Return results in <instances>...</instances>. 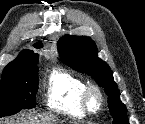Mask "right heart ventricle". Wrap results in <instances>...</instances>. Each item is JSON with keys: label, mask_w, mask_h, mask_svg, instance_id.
<instances>
[{"label": "right heart ventricle", "mask_w": 145, "mask_h": 124, "mask_svg": "<svg viewBox=\"0 0 145 124\" xmlns=\"http://www.w3.org/2000/svg\"><path fill=\"white\" fill-rule=\"evenodd\" d=\"M87 86L81 76L64 69H55L47 78L46 104L54 111L72 118H82L86 115L82 96Z\"/></svg>", "instance_id": "right-heart-ventricle-1"}]
</instances>
